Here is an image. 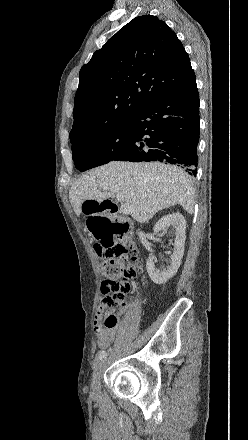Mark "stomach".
Returning a JSON list of instances; mask_svg holds the SVG:
<instances>
[{
  "label": "stomach",
  "instance_id": "obj_1",
  "mask_svg": "<svg viewBox=\"0 0 248 440\" xmlns=\"http://www.w3.org/2000/svg\"><path fill=\"white\" fill-rule=\"evenodd\" d=\"M82 216L86 218L87 232H90L91 237H94L98 244H101L102 241H117L116 228H113L111 218H107L108 211L104 204H84Z\"/></svg>",
  "mask_w": 248,
  "mask_h": 440
}]
</instances>
